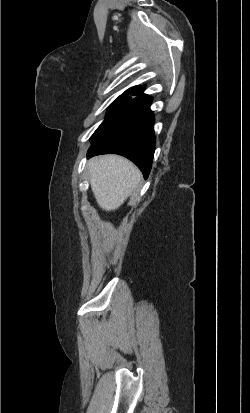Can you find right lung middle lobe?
<instances>
[{"label":"right lung middle lobe","instance_id":"right-lung-middle-lobe-1","mask_svg":"<svg viewBox=\"0 0 250 413\" xmlns=\"http://www.w3.org/2000/svg\"><path fill=\"white\" fill-rule=\"evenodd\" d=\"M132 101L130 94H122L109 106L107 117L90 138L91 143L105 135L118 123Z\"/></svg>","mask_w":250,"mask_h":413}]
</instances>
